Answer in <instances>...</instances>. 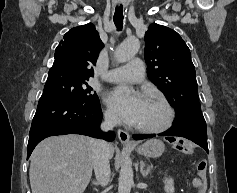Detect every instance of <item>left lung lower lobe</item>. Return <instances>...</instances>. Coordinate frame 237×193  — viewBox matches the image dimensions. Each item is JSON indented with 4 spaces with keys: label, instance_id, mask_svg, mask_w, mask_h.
Instances as JSON below:
<instances>
[{
    "label": "left lung lower lobe",
    "instance_id": "obj_1",
    "mask_svg": "<svg viewBox=\"0 0 237 193\" xmlns=\"http://www.w3.org/2000/svg\"><path fill=\"white\" fill-rule=\"evenodd\" d=\"M159 136H179L187 138L194 143L198 144L208 153V145H207V129L201 126H172L167 131L160 133ZM155 137V134L149 135H133L135 140H141L146 138ZM166 139L170 140V138L166 137Z\"/></svg>",
    "mask_w": 237,
    "mask_h": 193
}]
</instances>
